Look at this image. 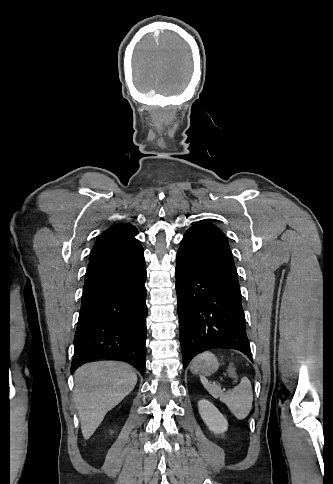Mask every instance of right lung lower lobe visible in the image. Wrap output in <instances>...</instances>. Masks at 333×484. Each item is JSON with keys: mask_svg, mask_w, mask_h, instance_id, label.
Masks as SVG:
<instances>
[{"mask_svg": "<svg viewBox=\"0 0 333 484\" xmlns=\"http://www.w3.org/2000/svg\"><path fill=\"white\" fill-rule=\"evenodd\" d=\"M146 266L142 246L91 258L74 338L73 373L82 363L115 359L145 373Z\"/></svg>", "mask_w": 333, "mask_h": 484, "instance_id": "98d812e1", "label": "right lung lower lobe"}]
</instances>
